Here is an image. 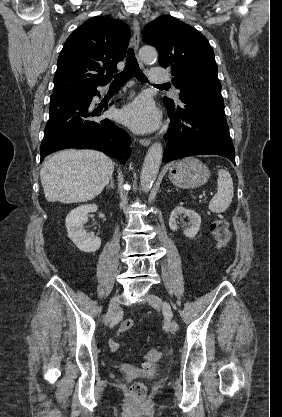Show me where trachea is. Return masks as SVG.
Instances as JSON below:
<instances>
[{
	"label": "trachea",
	"mask_w": 282,
	"mask_h": 417,
	"mask_svg": "<svg viewBox=\"0 0 282 417\" xmlns=\"http://www.w3.org/2000/svg\"><path fill=\"white\" fill-rule=\"evenodd\" d=\"M132 77H136L142 83H148L146 75L139 68L134 51L132 48H129L126 65L122 72L117 73L114 76L113 82H111L110 87H123V85L128 82ZM161 86H170V84H160Z\"/></svg>",
	"instance_id": "3493384b"
}]
</instances>
